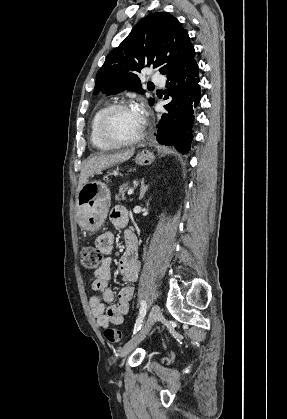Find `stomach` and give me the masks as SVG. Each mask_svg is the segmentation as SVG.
I'll list each match as a JSON object with an SVG mask.
<instances>
[{"instance_id":"0dacf381","label":"stomach","mask_w":287,"mask_h":419,"mask_svg":"<svg viewBox=\"0 0 287 419\" xmlns=\"http://www.w3.org/2000/svg\"><path fill=\"white\" fill-rule=\"evenodd\" d=\"M154 154L148 149L142 150L135 157V162L146 166L154 161ZM111 194L108 186L101 181L90 180L83 184L76 199V216L81 227L89 232H97L104 223Z\"/></svg>"}]
</instances>
